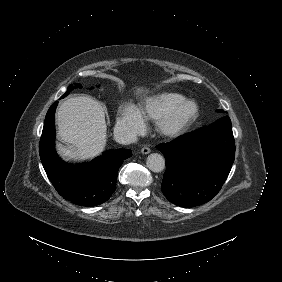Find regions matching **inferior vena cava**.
<instances>
[{
    "instance_id": "obj_1",
    "label": "inferior vena cava",
    "mask_w": 282,
    "mask_h": 282,
    "mask_svg": "<svg viewBox=\"0 0 282 282\" xmlns=\"http://www.w3.org/2000/svg\"><path fill=\"white\" fill-rule=\"evenodd\" d=\"M114 139L120 144H130L136 137L129 127L122 123H117L114 129Z\"/></svg>"
}]
</instances>
